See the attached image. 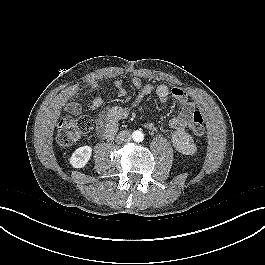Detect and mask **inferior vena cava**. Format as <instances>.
Returning <instances> with one entry per match:
<instances>
[{"label": "inferior vena cava", "mask_w": 265, "mask_h": 265, "mask_svg": "<svg viewBox=\"0 0 265 265\" xmlns=\"http://www.w3.org/2000/svg\"><path fill=\"white\" fill-rule=\"evenodd\" d=\"M130 140H131V134L127 130L121 131L116 137V143L118 144L127 143Z\"/></svg>", "instance_id": "inferior-vena-cava-1"}]
</instances>
